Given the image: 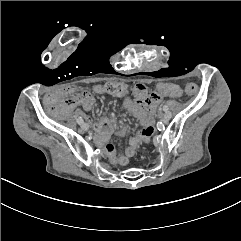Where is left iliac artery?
<instances>
[{"instance_id": "left-iliac-artery-1", "label": "left iliac artery", "mask_w": 241, "mask_h": 241, "mask_svg": "<svg viewBox=\"0 0 241 241\" xmlns=\"http://www.w3.org/2000/svg\"><path fill=\"white\" fill-rule=\"evenodd\" d=\"M164 111H168V107L166 105L163 106Z\"/></svg>"}]
</instances>
